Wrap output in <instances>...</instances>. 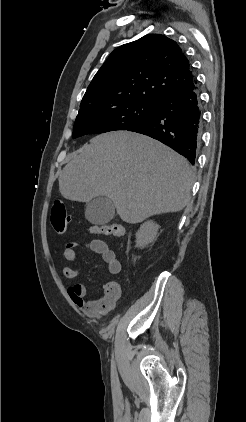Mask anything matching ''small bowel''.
<instances>
[{
	"label": "small bowel",
	"instance_id": "obj_1",
	"mask_svg": "<svg viewBox=\"0 0 246 422\" xmlns=\"http://www.w3.org/2000/svg\"><path fill=\"white\" fill-rule=\"evenodd\" d=\"M75 245L76 244L74 243H70L63 249L64 258L71 263H75L77 260L76 251L74 249ZM86 246L92 252L101 256L102 260L107 264L111 274L116 275L120 273L122 269L121 262L106 242L94 239L89 241ZM62 275L71 281L67 289L70 299L74 304L84 309L91 316L100 317L111 311L122 293L120 283L116 280H110L106 284L100 297L96 299H86V287L80 282H73L79 275V269L77 267L65 266L62 268Z\"/></svg>",
	"mask_w": 246,
	"mask_h": 422
}]
</instances>
